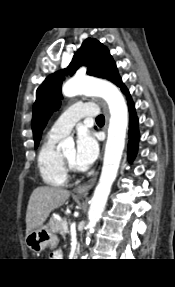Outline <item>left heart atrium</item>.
Instances as JSON below:
<instances>
[{
	"mask_svg": "<svg viewBox=\"0 0 175 287\" xmlns=\"http://www.w3.org/2000/svg\"><path fill=\"white\" fill-rule=\"evenodd\" d=\"M99 153L98 143L94 136L86 129H81L77 136L76 144V165L85 169L97 158Z\"/></svg>",
	"mask_w": 175,
	"mask_h": 287,
	"instance_id": "obj_1",
	"label": "left heart atrium"
}]
</instances>
